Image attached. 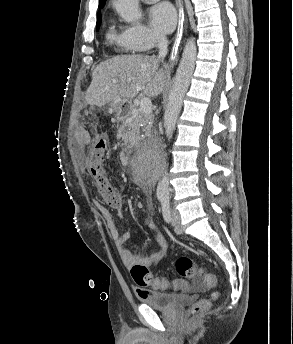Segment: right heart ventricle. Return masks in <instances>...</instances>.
I'll use <instances>...</instances> for the list:
<instances>
[{
    "label": "right heart ventricle",
    "mask_w": 293,
    "mask_h": 344,
    "mask_svg": "<svg viewBox=\"0 0 293 344\" xmlns=\"http://www.w3.org/2000/svg\"><path fill=\"white\" fill-rule=\"evenodd\" d=\"M106 39L110 44L116 46L117 48H119L122 51H125V52H131L132 51L124 43L121 33L118 32L116 30L115 26L112 24L109 25V27L106 31Z\"/></svg>",
    "instance_id": "obj_1"
}]
</instances>
